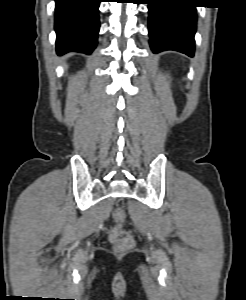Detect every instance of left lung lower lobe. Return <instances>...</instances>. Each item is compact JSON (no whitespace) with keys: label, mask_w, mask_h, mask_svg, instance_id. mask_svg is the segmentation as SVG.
<instances>
[{"label":"left lung lower lobe","mask_w":246,"mask_h":300,"mask_svg":"<svg viewBox=\"0 0 246 300\" xmlns=\"http://www.w3.org/2000/svg\"><path fill=\"white\" fill-rule=\"evenodd\" d=\"M149 36L153 52L175 50L192 57L196 31L193 0H147Z\"/></svg>","instance_id":"left-lung-lower-lobe-1"}]
</instances>
